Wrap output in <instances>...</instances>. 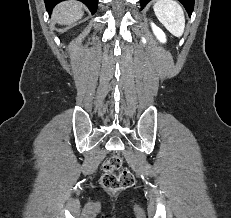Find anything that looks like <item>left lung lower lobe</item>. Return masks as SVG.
Segmentation results:
<instances>
[{"mask_svg":"<svg viewBox=\"0 0 231 218\" xmlns=\"http://www.w3.org/2000/svg\"><path fill=\"white\" fill-rule=\"evenodd\" d=\"M151 0H140L141 8H144L145 5ZM180 1L185 9L187 10L189 16L191 15L193 8H194V0H178Z\"/></svg>","mask_w":231,"mask_h":218,"instance_id":"obj_1","label":"left lung lower lobe"}]
</instances>
